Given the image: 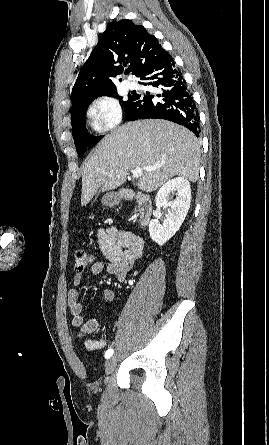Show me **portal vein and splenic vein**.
Wrapping results in <instances>:
<instances>
[{"mask_svg":"<svg viewBox=\"0 0 269 445\" xmlns=\"http://www.w3.org/2000/svg\"><path fill=\"white\" fill-rule=\"evenodd\" d=\"M161 167V165H156V166H153V167H151V168H147L146 170L147 171H149V170H156L157 168H160ZM143 169L142 168H136V169H133L132 171H131V173H132V176H133V178H139V177H141V175L143 174ZM113 171H110L109 173H108V175L110 176V174L112 173Z\"/></svg>","mask_w":269,"mask_h":445,"instance_id":"portal-vein-and-splenic-vein-1","label":"portal vein and splenic vein"}]
</instances>
